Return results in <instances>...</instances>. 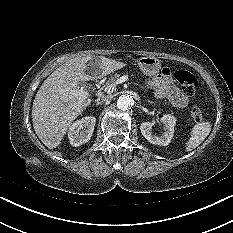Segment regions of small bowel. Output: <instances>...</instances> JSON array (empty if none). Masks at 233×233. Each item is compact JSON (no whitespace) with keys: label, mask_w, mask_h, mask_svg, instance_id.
<instances>
[{"label":"small bowel","mask_w":233,"mask_h":233,"mask_svg":"<svg viewBox=\"0 0 233 233\" xmlns=\"http://www.w3.org/2000/svg\"><path fill=\"white\" fill-rule=\"evenodd\" d=\"M148 86L154 90L157 98L167 97L177 108H183L188 104V97L174 84L168 68H164L160 74L151 78Z\"/></svg>","instance_id":"small-bowel-1"}]
</instances>
